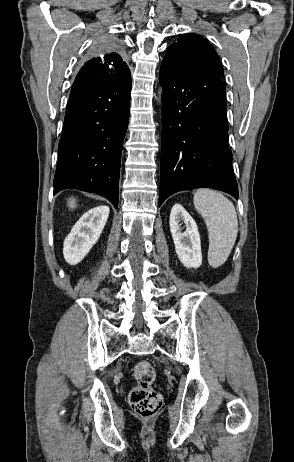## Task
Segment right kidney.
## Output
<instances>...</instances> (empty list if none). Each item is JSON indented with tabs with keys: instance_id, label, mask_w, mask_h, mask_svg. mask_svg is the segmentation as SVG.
<instances>
[{
	"instance_id": "ca27d5eb",
	"label": "right kidney",
	"mask_w": 294,
	"mask_h": 462,
	"mask_svg": "<svg viewBox=\"0 0 294 462\" xmlns=\"http://www.w3.org/2000/svg\"><path fill=\"white\" fill-rule=\"evenodd\" d=\"M108 206H98L85 212L64 240L63 255L67 263L76 265L84 259L98 241L109 216Z\"/></svg>"
}]
</instances>
